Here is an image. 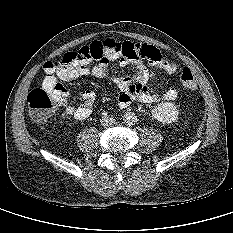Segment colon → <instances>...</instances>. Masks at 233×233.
Here are the masks:
<instances>
[{"mask_svg":"<svg viewBox=\"0 0 233 233\" xmlns=\"http://www.w3.org/2000/svg\"><path fill=\"white\" fill-rule=\"evenodd\" d=\"M103 52L104 45L94 42L91 45L81 47L77 51L67 52L60 60L47 62V66L54 69L69 67L81 60L100 59ZM180 81L185 88L189 90L196 89V81L189 68L182 70ZM27 103L32 119L44 121L55 112L59 102L52 91L45 88H36L28 94Z\"/></svg>","mask_w":233,"mask_h":233,"instance_id":"obj_1","label":"colon"}]
</instances>
